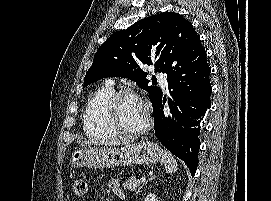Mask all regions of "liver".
<instances>
[{
    "label": "liver",
    "mask_w": 271,
    "mask_h": 201,
    "mask_svg": "<svg viewBox=\"0 0 271 201\" xmlns=\"http://www.w3.org/2000/svg\"><path fill=\"white\" fill-rule=\"evenodd\" d=\"M132 139L129 138H124V139H114L110 141H105V142H96L93 140H78L77 142L79 144H84V145H110V146H119V145H128Z\"/></svg>",
    "instance_id": "obj_1"
}]
</instances>
